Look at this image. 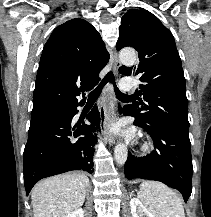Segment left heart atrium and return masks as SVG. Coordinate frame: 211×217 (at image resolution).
Wrapping results in <instances>:
<instances>
[{"label":"left heart atrium","mask_w":211,"mask_h":217,"mask_svg":"<svg viewBox=\"0 0 211 217\" xmlns=\"http://www.w3.org/2000/svg\"><path fill=\"white\" fill-rule=\"evenodd\" d=\"M117 129H118L117 126H115V127H114V130H117ZM128 133H129V135H131L132 132L130 131V132H128Z\"/></svg>","instance_id":"1"}]
</instances>
